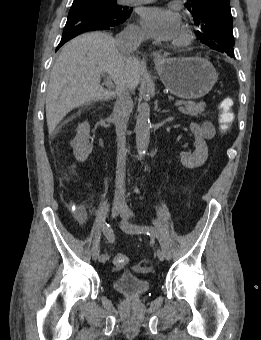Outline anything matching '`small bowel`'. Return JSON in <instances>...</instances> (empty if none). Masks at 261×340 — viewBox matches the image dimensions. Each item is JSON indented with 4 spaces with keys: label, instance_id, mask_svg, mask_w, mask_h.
Segmentation results:
<instances>
[{
    "label": "small bowel",
    "instance_id": "small-bowel-1",
    "mask_svg": "<svg viewBox=\"0 0 261 340\" xmlns=\"http://www.w3.org/2000/svg\"><path fill=\"white\" fill-rule=\"evenodd\" d=\"M78 220L80 223H84L86 221V215L83 213L78 214Z\"/></svg>",
    "mask_w": 261,
    "mask_h": 340
}]
</instances>
